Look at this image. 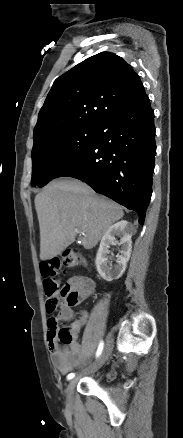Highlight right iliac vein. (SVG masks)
Masks as SVG:
<instances>
[{"label":"right iliac vein","mask_w":183,"mask_h":438,"mask_svg":"<svg viewBox=\"0 0 183 438\" xmlns=\"http://www.w3.org/2000/svg\"><path fill=\"white\" fill-rule=\"evenodd\" d=\"M111 344H112V342H111V340H109L102 355L100 356V358L97 360V362L94 365H92L90 367V369H89L90 372L98 370L107 361V359L109 358L111 349H112ZM76 382H77V379H72L68 383L66 390H65L66 402H67V405L69 407H71L73 404L72 395H73V391H74Z\"/></svg>","instance_id":"obj_1"}]
</instances>
